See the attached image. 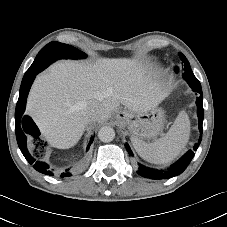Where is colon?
<instances>
[{
  "label": "colon",
  "mask_w": 227,
  "mask_h": 227,
  "mask_svg": "<svg viewBox=\"0 0 227 227\" xmlns=\"http://www.w3.org/2000/svg\"><path fill=\"white\" fill-rule=\"evenodd\" d=\"M36 143H37L38 147H44V142L38 140V142H36Z\"/></svg>",
  "instance_id": "colon-1"
}]
</instances>
